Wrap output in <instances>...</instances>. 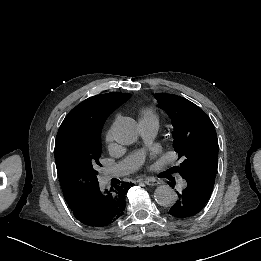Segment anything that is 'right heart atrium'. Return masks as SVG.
I'll return each instance as SVG.
<instances>
[{"mask_svg": "<svg viewBox=\"0 0 261 261\" xmlns=\"http://www.w3.org/2000/svg\"><path fill=\"white\" fill-rule=\"evenodd\" d=\"M105 141H106L108 147H109L110 149H112V148H113V141H114L113 128H112V127H110V129H109L108 132L106 133Z\"/></svg>", "mask_w": 261, "mask_h": 261, "instance_id": "obj_1", "label": "right heart atrium"}]
</instances>
